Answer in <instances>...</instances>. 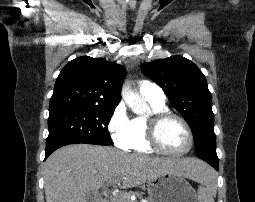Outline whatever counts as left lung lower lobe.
<instances>
[{"mask_svg": "<svg viewBox=\"0 0 255 202\" xmlns=\"http://www.w3.org/2000/svg\"><path fill=\"white\" fill-rule=\"evenodd\" d=\"M202 160H205L206 162H208L212 167H214L216 170L219 169V166H218V161L215 162L213 161L212 159H202Z\"/></svg>", "mask_w": 255, "mask_h": 202, "instance_id": "left-lung-lower-lobe-1", "label": "left lung lower lobe"}]
</instances>
